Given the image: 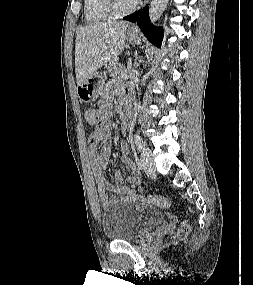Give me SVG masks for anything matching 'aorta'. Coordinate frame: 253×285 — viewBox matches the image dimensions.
Segmentation results:
<instances>
[{
  "label": "aorta",
  "instance_id": "1",
  "mask_svg": "<svg viewBox=\"0 0 253 285\" xmlns=\"http://www.w3.org/2000/svg\"><path fill=\"white\" fill-rule=\"evenodd\" d=\"M169 0H152L149 7V19L155 24L162 16Z\"/></svg>",
  "mask_w": 253,
  "mask_h": 285
}]
</instances>
